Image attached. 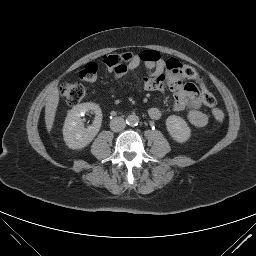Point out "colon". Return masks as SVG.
Segmentation results:
<instances>
[{
	"mask_svg": "<svg viewBox=\"0 0 256 256\" xmlns=\"http://www.w3.org/2000/svg\"><path fill=\"white\" fill-rule=\"evenodd\" d=\"M140 56L143 60H148V61H157L160 59L159 53L153 50L143 51L141 52ZM124 61H125V57L120 54H110V55L104 56L103 58L104 65L109 71L117 69L120 65L123 64ZM97 72H98L97 64L94 62H89L83 67L79 76L81 80L86 82H91L96 79ZM180 72L187 79L193 80L197 83V85L200 88L201 99L203 103L206 106L213 108L212 115L214 119L217 122L222 123L225 119L224 112L219 108H215L217 103L216 98L214 94L205 87L202 81V78L199 76L197 71L189 65H182L180 66ZM59 91L63 99L69 105H74L79 103L87 95V89L85 88L84 85H82L81 83L72 82V81L63 82L59 87Z\"/></svg>",
	"mask_w": 256,
	"mask_h": 256,
	"instance_id": "colon-1",
	"label": "colon"
}]
</instances>
